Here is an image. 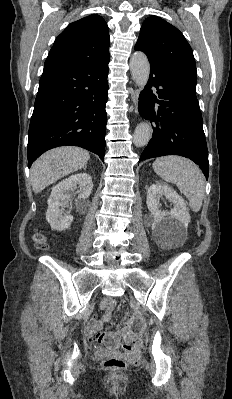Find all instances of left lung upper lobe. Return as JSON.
I'll return each instance as SVG.
<instances>
[{"instance_id": "left-lung-upper-lobe-1", "label": "left lung upper lobe", "mask_w": 232, "mask_h": 399, "mask_svg": "<svg viewBox=\"0 0 232 399\" xmlns=\"http://www.w3.org/2000/svg\"><path fill=\"white\" fill-rule=\"evenodd\" d=\"M135 50L143 51L150 62L162 68L192 101L198 103L193 51L177 28L157 16L148 17L141 27Z\"/></svg>"}]
</instances>
